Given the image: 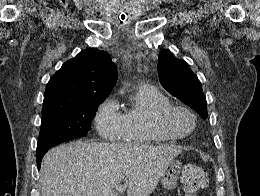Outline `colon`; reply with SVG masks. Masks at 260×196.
<instances>
[{"mask_svg": "<svg viewBox=\"0 0 260 196\" xmlns=\"http://www.w3.org/2000/svg\"><path fill=\"white\" fill-rule=\"evenodd\" d=\"M180 179L190 193H196L199 189H204L208 185L206 170L196 164L184 165L180 171Z\"/></svg>", "mask_w": 260, "mask_h": 196, "instance_id": "colon-1", "label": "colon"}]
</instances>
